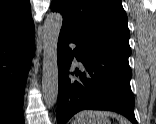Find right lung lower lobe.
<instances>
[{
	"instance_id": "98d812e1",
	"label": "right lung lower lobe",
	"mask_w": 156,
	"mask_h": 124,
	"mask_svg": "<svg viewBox=\"0 0 156 124\" xmlns=\"http://www.w3.org/2000/svg\"><path fill=\"white\" fill-rule=\"evenodd\" d=\"M33 53L34 29L0 36V124H24V88Z\"/></svg>"
}]
</instances>
